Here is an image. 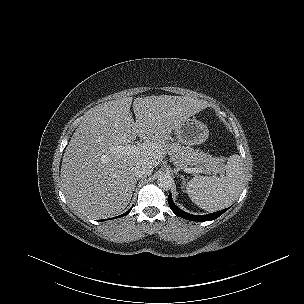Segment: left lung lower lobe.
<instances>
[{
  "instance_id": "0a47b994",
  "label": "left lung lower lobe",
  "mask_w": 304,
  "mask_h": 304,
  "mask_svg": "<svg viewBox=\"0 0 304 304\" xmlns=\"http://www.w3.org/2000/svg\"><path fill=\"white\" fill-rule=\"evenodd\" d=\"M168 203L169 206L171 208V210L178 216L185 218L187 220H192V221H210V220H214L216 218H218L219 216H221L225 211H227V209H223L221 211L218 212H214L211 214H207V215H193V214H189L187 212L182 211L181 209H179L173 202L172 200V196L171 194H169L168 196Z\"/></svg>"
}]
</instances>
